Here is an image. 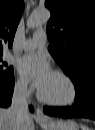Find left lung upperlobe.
I'll use <instances>...</instances> for the list:
<instances>
[{"label":"left lung upper lobe","instance_id":"1","mask_svg":"<svg viewBox=\"0 0 95 130\" xmlns=\"http://www.w3.org/2000/svg\"><path fill=\"white\" fill-rule=\"evenodd\" d=\"M49 52L78 88L95 76V0H45Z\"/></svg>","mask_w":95,"mask_h":130}]
</instances>
